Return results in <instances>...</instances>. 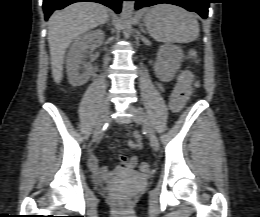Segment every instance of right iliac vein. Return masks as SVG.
I'll return each instance as SVG.
<instances>
[{
    "mask_svg": "<svg viewBox=\"0 0 260 217\" xmlns=\"http://www.w3.org/2000/svg\"><path fill=\"white\" fill-rule=\"evenodd\" d=\"M109 109H110V102L108 99H105L102 104L101 114L94 132L93 141H96L100 137L103 126L108 118Z\"/></svg>",
    "mask_w": 260,
    "mask_h": 217,
    "instance_id": "63e3f726",
    "label": "right iliac vein"
}]
</instances>
